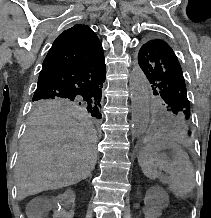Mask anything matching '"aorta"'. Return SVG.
Instances as JSON below:
<instances>
[{
    "label": "aorta",
    "instance_id": "1",
    "mask_svg": "<svg viewBox=\"0 0 211 218\" xmlns=\"http://www.w3.org/2000/svg\"><path fill=\"white\" fill-rule=\"evenodd\" d=\"M129 86L132 103L131 133L138 137L144 133L149 121L150 85L144 73L135 68L131 73Z\"/></svg>",
    "mask_w": 211,
    "mask_h": 218
}]
</instances>
